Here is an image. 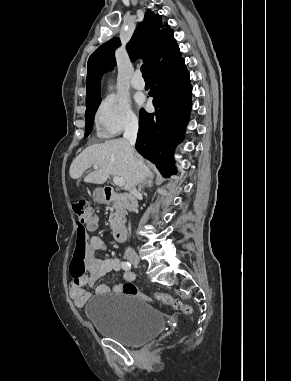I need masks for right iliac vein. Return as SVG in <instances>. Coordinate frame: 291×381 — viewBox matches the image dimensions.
<instances>
[{
    "instance_id": "obj_1",
    "label": "right iliac vein",
    "mask_w": 291,
    "mask_h": 381,
    "mask_svg": "<svg viewBox=\"0 0 291 381\" xmlns=\"http://www.w3.org/2000/svg\"><path fill=\"white\" fill-rule=\"evenodd\" d=\"M127 260L135 265H139L140 264V260H139V257L134 254V253H131V254H128L126 256Z\"/></svg>"
}]
</instances>
